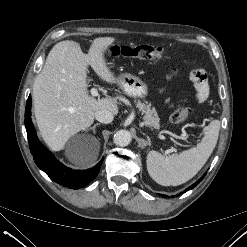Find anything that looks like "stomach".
Wrapping results in <instances>:
<instances>
[{"mask_svg":"<svg viewBox=\"0 0 247 247\" xmlns=\"http://www.w3.org/2000/svg\"><path fill=\"white\" fill-rule=\"evenodd\" d=\"M117 82L129 97L145 98L148 95L147 84L134 75L129 73L121 74L117 77Z\"/></svg>","mask_w":247,"mask_h":247,"instance_id":"0dacf381","label":"stomach"}]
</instances>
